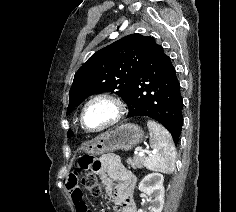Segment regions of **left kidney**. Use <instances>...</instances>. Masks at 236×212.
I'll list each match as a JSON object with an SVG mask.
<instances>
[{
    "instance_id": "left-kidney-1",
    "label": "left kidney",
    "mask_w": 236,
    "mask_h": 212,
    "mask_svg": "<svg viewBox=\"0 0 236 212\" xmlns=\"http://www.w3.org/2000/svg\"><path fill=\"white\" fill-rule=\"evenodd\" d=\"M164 177L160 173H151L139 183V190L150 196V212H161L164 206ZM138 212H143L141 209Z\"/></svg>"
}]
</instances>
